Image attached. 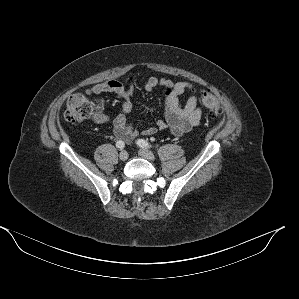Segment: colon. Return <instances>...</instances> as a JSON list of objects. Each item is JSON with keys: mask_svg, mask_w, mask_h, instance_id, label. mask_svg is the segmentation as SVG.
<instances>
[{"mask_svg": "<svg viewBox=\"0 0 299 299\" xmlns=\"http://www.w3.org/2000/svg\"><path fill=\"white\" fill-rule=\"evenodd\" d=\"M200 100L212 116L218 117L222 114L220 102L212 93L202 91ZM101 105V100H91L82 94H73L67 99L64 116L69 122H82L91 118Z\"/></svg>", "mask_w": 299, "mask_h": 299, "instance_id": "colon-1", "label": "colon"}]
</instances>
